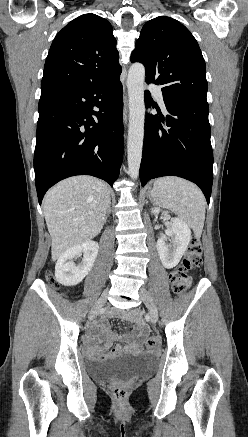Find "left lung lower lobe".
<instances>
[{"label": "left lung lower lobe", "mask_w": 248, "mask_h": 437, "mask_svg": "<svg viewBox=\"0 0 248 437\" xmlns=\"http://www.w3.org/2000/svg\"><path fill=\"white\" fill-rule=\"evenodd\" d=\"M151 95L145 91L146 107ZM168 115L145 117L143 156L140 165L142 186L153 178L178 176L197 184L209 204L213 182V152L210 142L208 103L165 99ZM169 129H165L161 123Z\"/></svg>", "instance_id": "left-lung-lower-lobe-1"}]
</instances>
